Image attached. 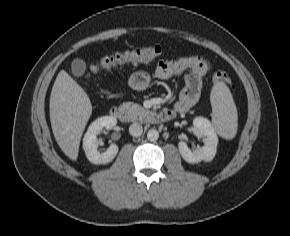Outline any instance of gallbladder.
Returning <instances> with one entry per match:
<instances>
[{
    "label": "gallbladder",
    "mask_w": 290,
    "mask_h": 236,
    "mask_svg": "<svg viewBox=\"0 0 290 236\" xmlns=\"http://www.w3.org/2000/svg\"><path fill=\"white\" fill-rule=\"evenodd\" d=\"M85 62L79 58L74 59L71 64L72 74L75 76H82L85 72Z\"/></svg>",
    "instance_id": "1"
}]
</instances>
